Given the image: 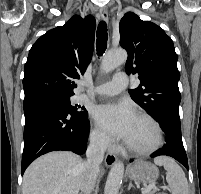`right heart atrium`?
Segmentation results:
<instances>
[{
	"mask_svg": "<svg viewBox=\"0 0 201 194\" xmlns=\"http://www.w3.org/2000/svg\"><path fill=\"white\" fill-rule=\"evenodd\" d=\"M90 140L93 146L99 150H105L112 146V139L99 127L94 126L90 131Z\"/></svg>",
	"mask_w": 201,
	"mask_h": 194,
	"instance_id": "right-heart-atrium-1",
	"label": "right heart atrium"
}]
</instances>
